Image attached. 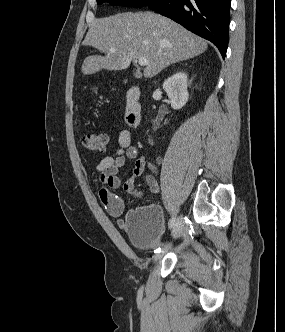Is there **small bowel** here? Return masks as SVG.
I'll use <instances>...</instances> for the list:
<instances>
[{
	"instance_id": "c3829d8e",
	"label": "small bowel",
	"mask_w": 285,
	"mask_h": 332,
	"mask_svg": "<svg viewBox=\"0 0 285 332\" xmlns=\"http://www.w3.org/2000/svg\"><path fill=\"white\" fill-rule=\"evenodd\" d=\"M131 132L127 129H122L118 135L117 150L109 156H105L96 166V171L99 174L101 183L106 187L99 190V198L105 207L109 216L118 219V225L124 226L123 220L119 217L124 212V202L114 191L122 189L125 193L134 198H141L144 192L135 187V182L138 177L143 175L146 167H149L151 174L145 177L146 184L152 193L160 191V185L157 182L154 174L158 173L157 167L149 162L147 158L139 155L137 146L132 145ZM127 160H134V166L131 176L122 182L119 176V170L126 164Z\"/></svg>"
}]
</instances>
